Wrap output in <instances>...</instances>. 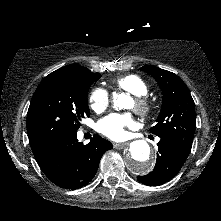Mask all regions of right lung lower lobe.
<instances>
[{
    "label": "right lung lower lobe",
    "instance_id": "1",
    "mask_svg": "<svg viewBox=\"0 0 221 221\" xmlns=\"http://www.w3.org/2000/svg\"><path fill=\"white\" fill-rule=\"evenodd\" d=\"M31 148L50 181L62 188L77 189L93 179L102 155L113 146L96 134L84 145L77 140L76 132H67Z\"/></svg>",
    "mask_w": 221,
    "mask_h": 221
}]
</instances>
